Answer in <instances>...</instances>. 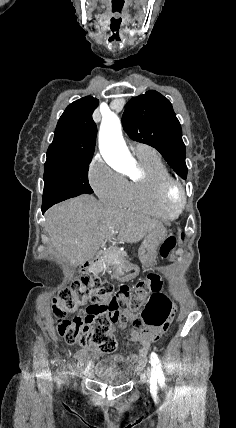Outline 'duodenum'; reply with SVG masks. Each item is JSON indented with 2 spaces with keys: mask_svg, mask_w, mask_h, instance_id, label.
<instances>
[{
  "mask_svg": "<svg viewBox=\"0 0 236 428\" xmlns=\"http://www.w3.org/2000/svg\"><path fill=\"white\" fill-rule=\"evenodd\" d=\"M101 261H106L114 271H117L122 264L120 260L110 257L107 251H100L97 255L83 264V271H89Z\"/></svg>",
  "mask_w": 236,
  "mask_h": 428,
  "instance_id": "duodenum-1",
  "label": "duodenum"
}]
</instances>
